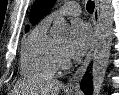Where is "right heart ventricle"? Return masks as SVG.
<instances>
[{"mask_svg":"<svg viewBox=\"0 0 119 95\" xmlns=\"http://www.w3.org/2000/svg\"><path fill=\"white\" fill-rule=\"evenodd\" d=\"M51 19H42L30 32L21 56V72L29 78H50L56 70V41L48 33Z\"/></svg>","mask_w":119,"mask_h":95,"instance_id":"right-heart-ventricle-1","label":"right heart ventricle"}]
</instances>
